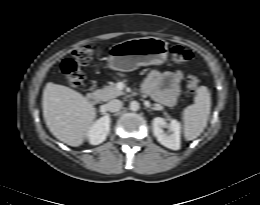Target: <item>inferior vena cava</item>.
Returning a JSON list of instances; mask_svg holds the SVG:
<instances>
[{
  "label": "inferior vena cava",
  "mask_w": 260,
  "mask_h": 205,
  "mask_svg": "<svg viewBox=\"0 0 260 205\" xmlns=\"http://www.w3.org/2000/svg\"><path fill=\"white\" fill-rule=\"evenodd\" d=\"M122 106H123L122 101L118 99H113L106 104V108L110 112H117L122 108Z\"/></svg>",
  "instance_id": "602c4592"
}]
</instances>
